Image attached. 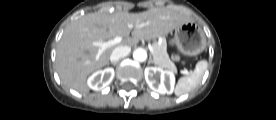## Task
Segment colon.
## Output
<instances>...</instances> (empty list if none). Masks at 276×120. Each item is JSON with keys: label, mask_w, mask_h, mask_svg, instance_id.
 <instances>
[{"label": "colon", "mask_w": 276, "mask_h": 120, "mask_svg": "<svg viewBox=\"0 0 276 120\" xmlns=\"http://www.w3.org/2000/svg\"><path fill=\"white\" fill-rule=\"evenodd\" d=\"M171 45H172V46H175V42H174L173 40L171 41ZM173 57H174L175 60H181V61L184 62V63L187 62V58L184 57V56L180 53V51H178V50L175 51Z\"/></svg>", "instance_id": "5ec220e1"}]
</instances>
